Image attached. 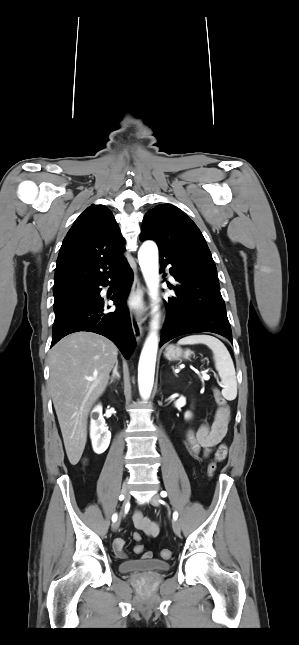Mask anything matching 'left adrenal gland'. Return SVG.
I'll return each mask as SVG.
<instances>
[{
  "label": "left adrenal gland",
  "instance_id": "a2214340",
  "mask_svg": "<svg viewBox=\"0 0 299 645\" xmlns=\"http://www.w3.org/2000/svg\"><path fill=\"white\" fill-rule=\"evenodd\" d=\"M172 370L175 371V368L172 366Z\"/></svg>",
  "mask_w": 299,
  "mask_h": 645
}]
</instances>
